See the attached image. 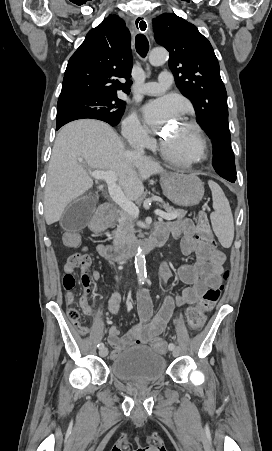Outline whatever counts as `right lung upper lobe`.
<instances>
[{
    "label": "right lung upper lobe",
    "mask_w": 272,
    "mask_h": 451,
    "mask_svg": "<svg viewBox=\"0 0 272 451\" xmlns=\"http://www.w3.org/2000/svg\"><path fill=\"white\" fill-rule=\"evenodd\" d=\"M131 36L124 21L109 15L90 30L68 61L59 100L129 93L132 69ZM119 79H127L121 83ZM117 96V95H116Z\"/></svg>",
    "instance_id": "right-lung-upper-lobe-1"
}]
</instances>
